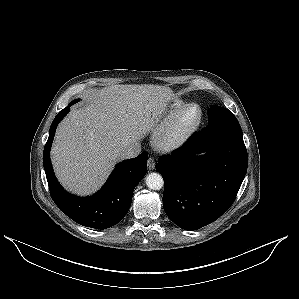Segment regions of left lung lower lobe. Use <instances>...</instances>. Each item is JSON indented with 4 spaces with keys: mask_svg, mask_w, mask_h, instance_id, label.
Here are the masks:
<instances>
[{
    "mask_svg": "<svg viewBox=\"0 0 299 299\" xmlns=\"http://www.w3.org/2000/svg\"><path fill=\"white\" fill-rule=\"evenodd\" d=\"M156 170L164 178V210L176 225L193 231L215 221L232 205L247 171L238 120L231 111L215 118L160 157Z\"/></svg>",
    "mask_w": 299,
    "mask_h": 299,
    "instance_id": "obj_1",
    "label": "left lung lower lobe"
}]
</instances>
